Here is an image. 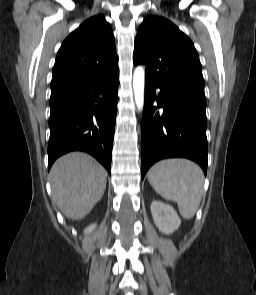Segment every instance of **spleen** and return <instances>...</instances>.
I'll return each mask as SVG.
<instances>
[{
  "instance_id": "spleen-1",
  "label": "spleen",
  "mask_w": 256,
  "mask_h": 295,
  "mask_svg": "<svg viewBox=\"0 0 256 295\" xmlns=\"http://www.w3.org/2000/svg\"><path fill=\"white\" fill-rule=\"evenodd\" d=\"M148 181L162 197L177 202L182 217L190 219L195 215L204 184L197 164L186 159L160 161L150 168Z\"/></svg>"
}]
</instances>
